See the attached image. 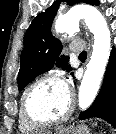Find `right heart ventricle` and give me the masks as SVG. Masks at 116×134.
Segmentation results:
<instances>
[{"label":"right heart ventricle","mask_w":116,"mask_h":134,"mask_svg":"<svg viewBox=\"0 0 116 134\" xmlns=\"http://www.w3.org/2000/svg\"><path fill=\"white\" fill-rule=\"evenodd\" d=\"M18 126H19V130L22 133H32L37 130L36 126L26 121V119L21 113V109L19 110V114H18Z\"/></svg>","instance_id":"1"}]
</instances>
